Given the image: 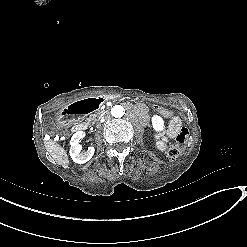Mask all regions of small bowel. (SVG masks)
I'll use <instances>...</instances> for the list:
<instances>
[{"instance_id":"obj_1","label":"small bowel","mask_w":247,"mask_h":247,"mask_svg":"<svg viewBox=\"0 0 247 247\" xmlns=\"http://www.w3.org/2000/svg\"><path fill=\"white\" fill-rule=\"evenodd\" d=\"M181 129H182V123L180 118L174 116L169 123L168 129L166 131V135L158 136V140L156 143L157 148L161 151L165 150L167 148L169 140L176 138L180 133Z\"/></svg>"}]
</instances>
